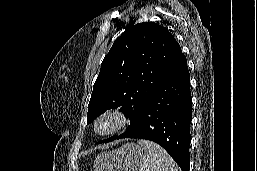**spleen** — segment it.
<instances>
[{
    "label": "spleen",
    "mask_w": 257,
    "mask_h": 171,
    "mask_svg": "<svg viewBox=\"0 0 257 171\" xmlns=\"http://www.w3.org/2000/svg\"><path fill=\"white\" fill-rule=\"evenodd\" d=\"M145 150L140 171H178L174 160L158 144L148 140H138Z\"/></svg>",
    "instance_id": "obj_1"
}]
</instances>
